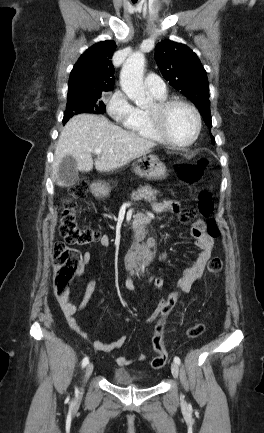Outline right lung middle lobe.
Wrapping results in <instances>:
<instances>
[{
	"label": "right lung middle lobe",
	"instance_id": "obj_1",
	"mask_svg": "<svg viewBox=\"0 0 264 433\" xmlns=\"http://www.w3.org/2000/svg\"><path fill=\"white\" fill-rule=\"evenodd\" d=\"M102 92L85 96L68 97L67 108L63 117L65 124L72 116L79 113L102 114L106 112L105 104L101 100Z\"/></svg>",
	"mask_w": 264,
	"mask_h": 433
}]
</instances>
